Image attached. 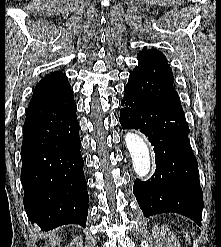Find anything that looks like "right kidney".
<instances>
[{"mask_svg":"<svg viewBox=\"0 0 221 247\" xmlns=\"http://www.w3.org/2000/svg\"><path fill=\"white\" fill-rule=\"evenodd\" d=\"M66 247H83L82 236L73 239Z\"/></svg>","mask_w":221,"mask_h":247,"instance_id":"ca27d5eb","label":"right kidney"}]
</instances>
